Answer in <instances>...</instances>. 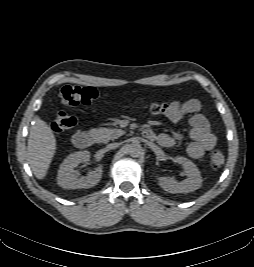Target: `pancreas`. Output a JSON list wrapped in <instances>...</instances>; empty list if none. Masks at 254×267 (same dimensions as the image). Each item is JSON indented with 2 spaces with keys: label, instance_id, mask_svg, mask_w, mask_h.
Returning <instances> with one entry per match:
<instances>
[{
  "label": "pancreas",
  "instance_id": "1",
  "mask_svg": "<svg viewBox=\"0 0 254 267\" xmlns=\"http://www.w3.org/2000/svg\"><path fill=\"white\" fill-rule=\"evenodd\" d=\"M92 134L96 137L98 142L107 143L109 140L119 137L122 131L119 129L98 128L93 129Z\"/></svg>",
  "mask_w": 254,
  "mask_h": 267
}]
</instances>
